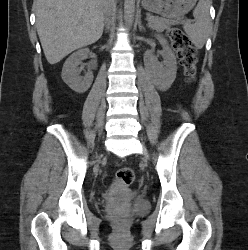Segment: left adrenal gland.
<instances>
[{"label":"left adrenal gland","mask_w":248,"mask_h":250,"mask_svg":"<svg viewBox=\"0 0 248 250\" xmlns=\"http://www.w3.org/2000/svg\"><path fill=\"white\" fill-rule=\"evenodd\" d=\"M139 30L145 31V27L141 24V21L139 22Z\"/></svg>","instance_id":"a2214340"}]
</instances>
